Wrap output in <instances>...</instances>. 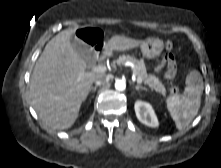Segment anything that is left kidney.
Returning <instances> with one entry per match:
<instances>
[{
	"label": "left kidney",
	"mask_w": 221,
	"mask_h": 168,
	"mask_svg": "<svg viewBox=\"0 0 221 168\" xmlns=\"http://www.w3.org/2000/svg\"><path fill=\"white\" fill-rule=\"evenodd\" d=\"M134 108L136 116L141 123L152 128L159 125L155 112L149 103L137 101Z\"/></svg>",
	"instance_id": "left-kidney-1"
}]
</instances>
